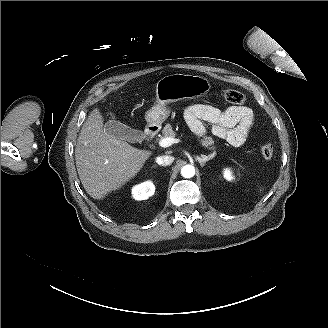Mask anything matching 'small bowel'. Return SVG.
<instances>
[{"mask_svg": "<svg viewBox=\"0 0 328 328\" xmlns=\"http://www.w3.org/2000/svg\"><path fill=\"white\" fill-rule=\"evenodd\" d=\"M184 118L189 128L199 136L205 131V124L217 137L232 146L245 143L254 121V113L247 106H231L226 110L208 104H192L184 109Z\"/></svg>", "mask_w": 328, "mask_h": 328, "instance_id": "c3829d8e", "label": "small bowel"}]
</instances>
